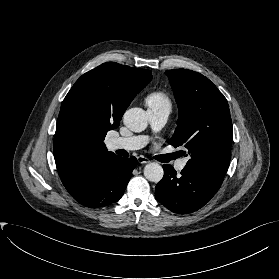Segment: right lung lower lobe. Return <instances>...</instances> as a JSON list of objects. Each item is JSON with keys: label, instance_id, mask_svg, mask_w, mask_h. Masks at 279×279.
<instances>
[{"label": "right lung lower lobe", "instance_id": "1", "mask_svg": "<svg viewBox=\"0 0 279 279\" xmlns=\"http://www.w3.org/2000/svg\"><path fill=\"white\" fill-rule=\"evenodd\" d=\"M137 163L135 157L114 155L86 162L61 180L80 204L89 208L104 207L122 197Z\"/></svg>", "mask_w": 279, "mask_h": 279}]
</instances>
